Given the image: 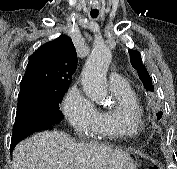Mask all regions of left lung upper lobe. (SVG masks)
<instances>
[{"label": "left lung upper lobe", "instance_id": "1", "mask_svg": "<svg viewBox=\"0 0 177 169\" xmlns=\"http://www.w3.org/2000/svg\"><path fill=\"white\" fill-rule=\"evenodd\" d=\"M132 66L138 71L140 80L147 90L154 91L152 79L141 61V54L136 50H129Z\"/></svg>", "mask_w": 177, "mask_h": 169}]
</instances>
